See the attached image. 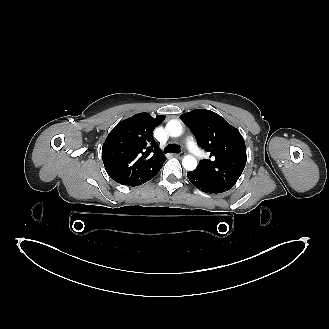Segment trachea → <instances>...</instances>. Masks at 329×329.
I'll list each match as a JSON object with an SVG mask.
<instances>
[{
  "label": "trachea",
  "mask_w": 329,
  "mask_h": 329,
  "mask_svg": "<svg viewBox=\"0 0 329 329\" xmlns=\"http://www.w3.org/2000/svg\"><path fill=\"white\" fill-rule=\"evenodd\" d=\"M181 150H180V147L177 146V145H173V144H168L166 147H165V153H179Z\"/></svg>",
  "instance_id": "obj_1"
}]
</instances>
